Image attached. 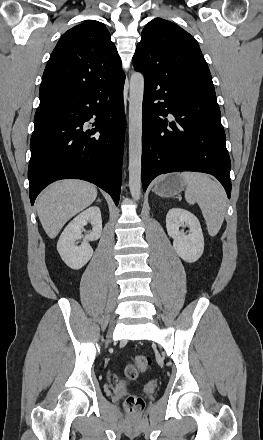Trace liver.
Returning a JSON list of instances; mask_svg holds the SVG:
<instances>
[{"label": "liver", "instance_id": "6515ba94", "mask_svg": "<svg viewBox=\"0 0 263 440\" xmlns=\"http://www.w3.org/2000/svg\"><path fill=\"white\" fill-rule=\"evenodd\" d=\"M97 189L81 180H63L52 184L39 197L36 208L43 229L55 238L64 224L74 215L91 205Z\"/></svg>", "mask_w": 263, "mask_h": 440}]
</instances>
